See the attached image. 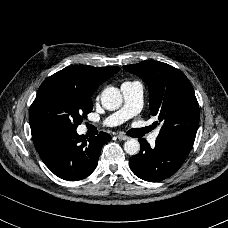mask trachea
I'll return each mask as SVG.
<instances>
[{"label":"trachea","mask_w":228,"mask_h":228,"mask_svg":"<svg viewBox=\"0 0 228 228\" xmlns=\"http://www.w3.org/2000/svg\"><path fill=\"white\" fill-rule=\"evenodd\" d=\"M150 130H151L150 127H145V128H142V129H141V132H142L143 134H145V133L149 132Z\"/></svg>","instance_id":"obj_1"}]
</instances>
